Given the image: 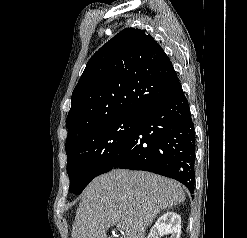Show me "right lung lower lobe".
I'll return each instance as SVG.
<instances>
[{
  "label": "right lung lower lobe",
  "mask_w": 247,
  "mask_h": 238,
  "mask_svg": "<svg viewBox=\"0 0 247 238\" xmlns=\"http://www.w3.org/2000/svg\"><path fill=\"white\" fill-rule=\"evenodd\" d=\"M114 168L160 174L194 191V124L180 81L168 96L140 113Z\"/></svg>",
  "instance_id": "obj_1"
}]
</instances>
